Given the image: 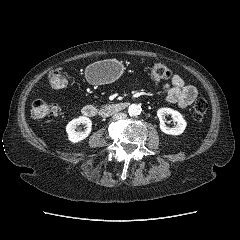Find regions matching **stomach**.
I'll return each instance as SVG.
<instances>
[{"label": "stomach", "instance_id": "obj_1", "mask_svg": "<svg viewBox=\"0 0 240 240\" xmlns=\"http://www.w3.org/2000/svg\"><path fill=\"white\" fill-rule=\"evenodd\" d=\"M85 74L93 84H108L121 76L122 65L114 60H102L89 65Z\"/></svg>", "mask_w": 240, "mask_h": 240}]
</instances>
